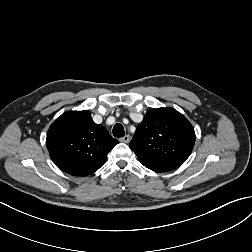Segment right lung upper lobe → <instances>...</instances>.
<instances>
[{"mask_svg":"<svg viewBox=\"0 0 252 252\" xmlns=\"http://www.w3.org/2000/svg\"><path fill=\"white\" fill-rule=\"evenodd\" d=\"M118 143L105 127L95 124L89 111H68L47 132L46 146L53 162L75 176L98 170Z\"/></svg>","mask_w":252,"mask_h":252,"instance_id":"right-lung-upper-lobe-1","label":"right lung upper lobe"}]
</instances>
